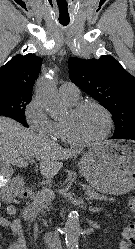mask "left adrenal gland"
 Returning <instances> with one entry per match:
<instances>
[{"label":"left adrenal gland","instance_id":"obj_1","mask_svg":"<svg viewBox=\"0 0 135 249\" xmlns=\"http://www.w3.org/2000/svg\"><path fill=\"white\" fill-rule=\"evenodd\" d=\"M89 211L92 212V213H98L101 211V208H97V207H92L90 206L89 207Z\"/></svg>","mask_w":135,"mask_h":249}]
</instances>
